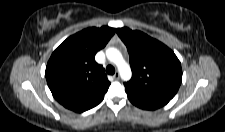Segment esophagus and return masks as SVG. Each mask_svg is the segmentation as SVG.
I'll return each instance as SVG.
<instances>
[{
    "mask_svg": "<svg viewBox=\"0 0 225 132\" xmlns=\"http://www.w3.org/2000/svg\"><path fill=\"white\" fill-rule=\"evenodd\" d=\"M113 78H114L115 80H119L120 74H119V73H115L114 76H113Z\"/></svg>",
    "mask_w": 225,
    "mask_h": 132,
    "instance_id": "esophagus-1",
    "label": "esophagus"
}]
</instances>
